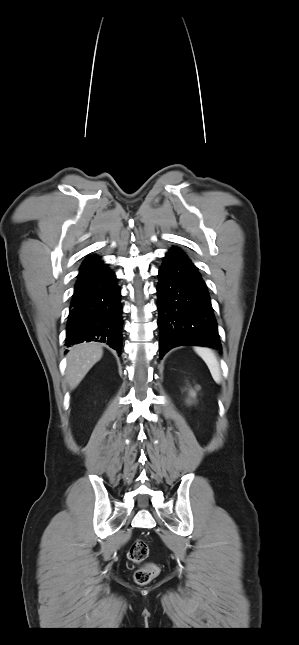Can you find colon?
<instances>
[{
	"label": "colon",
	"instance_id": "5ec220e1",
	"mask_svg": "<svg viewBox=\"0 0 299 645\" xmlns=\"http://www.w3.org/2000/svg\"><path fill=\"white\" fill-rule=\"evenodd\" d=\"M149 554L147 543L142 539H136L129 551L128 558L136 564L146 560ZM159 574V567L154 563H147L136 570L134 574L135 582L139 585H146Z\"/></svg>",
	"mask_w": 299,
	"mask_h": 645
}]
</instances>
